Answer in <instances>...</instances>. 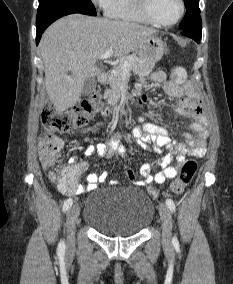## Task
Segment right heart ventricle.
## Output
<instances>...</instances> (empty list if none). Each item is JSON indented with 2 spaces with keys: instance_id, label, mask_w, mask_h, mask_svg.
I'll return each mask as SVG.
<instances>
[{
  "instance_id": "e07e8e85",
  "label": "right heart ventricle",
  "mask_w": 233,
  "mask_h": 284,
  "mask_svg": "<svg viewBox=\"0 0 233 284\" xmlns=\"http://www.w3.org/2000/svg\"><path fill=\"white\" fill-rule=\"evenodd\" d=\"M105 11L112 19L139 24L152 23L141 12L138 0H109Z\"/></svg>"
}]
</instances>
